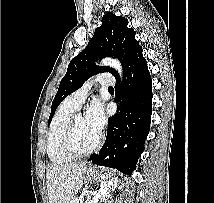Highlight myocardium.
<instances>
[{"label":"myocardium","instance_id":"f54148a6","mask_svg":"<svg viewBox=\"0 0 214 203\" xmlns=\"http://www.w3.org/2000/svg\"><path fill=\"white\" fill-rule=\"evenodd\" d=\"M78 117L79 116H73L71 118V120L69 121L65 129L63 139H62L63 152L70 158H82V157L89 156L100 147L103 140V135L99 133L96 142L91 148L85 151L78 150L74 144L75 126H76V120Z\"/></svg>","mask_w":214,"mask_h":203}]
</instances>
